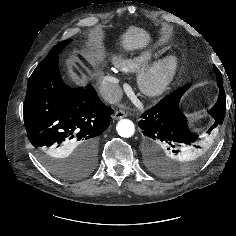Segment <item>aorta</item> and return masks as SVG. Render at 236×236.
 <instances>
[{
	"label": "aorta",
	"instance_id": "obj_1",
	"mask_svg": "<svg viewBox=\"0 0 236 236\" xmlns=\"http://www.w3.org/2000/svg\"><path fill=\"white\" fill-rule=\"evenodd\" d=\"M116 130L119 136L129 138L135 132V126L129 119H122L117 123Z\"/></svg>",
	"mask_w": 236,
	"mask_h": 236
}]
</instances>
